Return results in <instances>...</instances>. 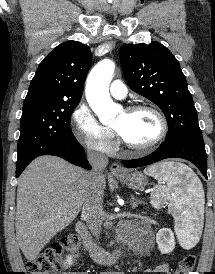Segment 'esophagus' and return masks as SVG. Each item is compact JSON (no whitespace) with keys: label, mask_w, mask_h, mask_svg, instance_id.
I'll return each mask as SVG.
<instances>
[{"label":"esophagus","mask_w":215,"mask_h":274,"mask_svg":"<svg viewBox=\"0 0 215 274\" xmlns=\"http://www.w3.org/2000/svg\"><path fill=\"white\" fill-rule=\"evenodd\" d=\"M110 171L115 176H121V175L125 174V170L118 163H112L111 166H110Z\"/></svg>","instance_id":"obj_1"}]
</instances>
